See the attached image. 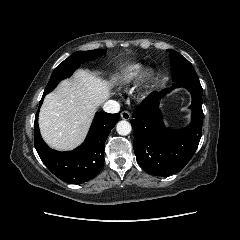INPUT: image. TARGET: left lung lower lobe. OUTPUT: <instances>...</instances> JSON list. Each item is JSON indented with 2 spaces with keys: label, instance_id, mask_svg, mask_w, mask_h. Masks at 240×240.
<instances>
[{
  "label": "left lung lower lobe",
  "instance_id": "left-lung-lower-lobe-1",
  "mask_svg": "<svg viewBox=\"0 0 240 240\" xmlns=\"http://www.w3.org/2000/svg\"><path fill=\"white\" fill-rule=\"evenodd\" d=\"M192 95V122L182 130L167 129L158 101L174 88ZM134 152L137 162L151 175L168 176L180 171L194 155L202 135V87L199 82L179 81L162 92H152L132 114Z\"/></svg>",
  "mask_w": 240,
  "mask_h": 240
}]
</instances>
